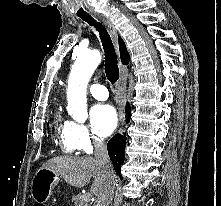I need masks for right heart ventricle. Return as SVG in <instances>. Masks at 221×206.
Segmentation results:
<instances>
[{"label":"right heart ventricle","mask_w":221,"mask_h":206,"mask_svg":"<svg viewBox=\"0 0 221 206\" xmlns=\"http://www.w3.org/2000/svg\"><path fill=\"white\" fill-rule=\"evenodd\" d=\"M74 122L62 116L59 108L53 115L55 140L66 153H73L77 148L74 140Z\"/></svg>","instance_id":"right-heart-ventricle-1"}]
</instances>
